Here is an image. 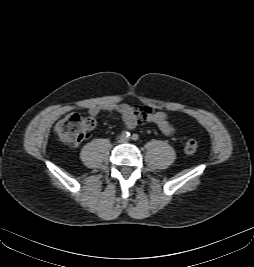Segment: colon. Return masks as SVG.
Returning a JSON list of instances; mask_svg holds the SVG:
<instances>
[{
  "mask_svg": "<svg viewBox=\"0 0 254 267\" xmlns=\"http://www.w3.org/2000/svg\"><path fill=\"white\" fill-rule=\"evenodd\" d=\"M95 125L96 121L92 117L70 114L56 124L55 133L65 145L76 146L87 139ZM197 149L198 144L194 139L185 143V151L188 154L195 153Z\"/></svg>",
  "mask_w": 254,
  "mask_h": 267,
  "instance_id": "colon-1",
  "label": "colon"
}]
</instances>
